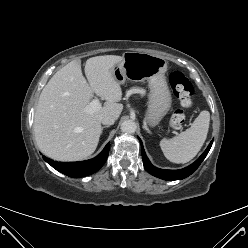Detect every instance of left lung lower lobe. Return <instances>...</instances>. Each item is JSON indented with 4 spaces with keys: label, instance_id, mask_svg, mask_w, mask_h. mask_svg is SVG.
<instances>
[{
    "label": "left lung lower lobe",
    "instance_id": "0a47b994",
    "mask_svg": "<svg viewBox=\"0 0 248 248\" xmlns=\"http://www.w3.org/2000/svg\"><path fill=\"white\" fill-rule=\"evenodd\" d=\"M138 139L141 143L142 160H143L145 169L151 175L164 179V180H169V181L184 179L188 177L189 175H191L199 167V165L204 160V158L207 156L213 143V140H212L210 144L208 145L207 149L203 152V154L190 166H187L180 170H164V169H159L151 164L148 157L146 156L141 139L139 137Z\"/></svg>",
    "mask_w": 248,
    "mask_h": 248
}]
</instances>
